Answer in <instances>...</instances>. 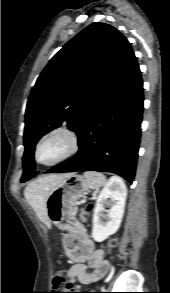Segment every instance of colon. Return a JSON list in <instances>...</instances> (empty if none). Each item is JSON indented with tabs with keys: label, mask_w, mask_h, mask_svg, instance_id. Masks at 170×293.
I'll use <instances>...</instances> for the list:
<instances>
[{
	"label": "colon",
	"mask_w": 170,
	"mask_h": 293,
	"mask_svg": "<svg viewBox=\"0 0 170 293\" xmlns=\"http://www.w3.org/2000/svg\"><path fill=\"white\" fill-rule=\"evenodd\" d=\"M90 209H91V206H88V210H90ZM73 232L78 233L79 235L82 236V230L80 228H78L77 230H75ZM115 244H116L115 240H111L109 242L110 247H114ZM52 284H53V288L56 291H58V292H52V293H75V292H70L73 289L67 285L63 275H61V274H56L54 276Z\"/></svg>",
	"instance_id": "colon-1"
}]
</instances>
